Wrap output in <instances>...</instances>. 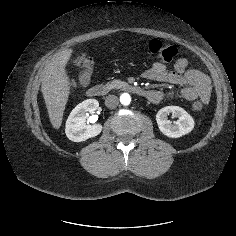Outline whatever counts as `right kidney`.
Listing matches in <instances>:
<instances>
[{
    "label": "right kidney",
    "mask_w": 236,
    "mask_h": 236,
    "mask_svg": "<svg viewBox=\"0 0 236 236\" xmlns=\"http://www.w3.org/2000/svg\"><path fill=\"white\" fill-rule=\"evenodd\" d=\"M99 107L96 99H87L78 104L70 113L67 121L65 133L69 140L73 142L86 141L95 137L102 131L101 124H86V120H96L95 116L88 117V113H95Z\"/></svg>",
    "instance_id": "right-kidney-1"
}]
</instances>
